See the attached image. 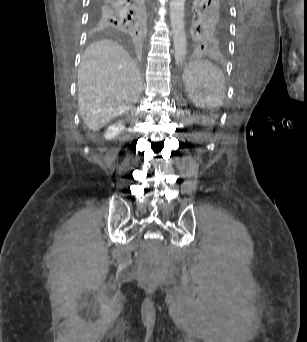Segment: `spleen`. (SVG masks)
Instances as JSON below:
<instances>
[{
    "label": "spleen",
    "mask_w": 307,
    "mask_h": 342,
    "mask_svg": "<svg viewBox=\"0 0 307 342\" xmlns=\"http://www.w3.org/2000/svg\"><path fill=\"white\" fill-rule=\"evenodd\" d=\"M190 61L193 62L185 65L183 70V84L189 90L190 100H194L199 108H206L208 114H218V106H222L226 90L222 70L211 64L210 59L201 58L196 62L194 58Z\"/></svg>",
    "instance_id": "1"
}]
</instances>
